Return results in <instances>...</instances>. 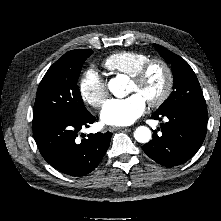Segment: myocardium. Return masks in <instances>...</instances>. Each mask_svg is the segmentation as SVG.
Wrapping results in <instances>:
<instances>
[{"label": "myocardium", "mask_w": 221, "mask_h": 221, "mask_svg": "<svg viewBox=\"0 0 221 221\" xmlns=\"http://www.w3.org/2000/svg\"><path fill=\"white\" fill-rule=\"evenodd\" d=\"M160 66L165 74V85L160 95L154 99H150L147 103L151 107L161 106L171 95L174 86V73L171 66L161 58H152L141 65L137 71L131 76L132 82L141 85L147 77L153 66Z\"/></svg>", "instance_id": "f54148a6"}]
</instances>
